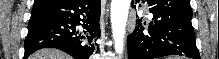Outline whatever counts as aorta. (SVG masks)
Instances as JSON below:
<instances>
[{
	"label": "aorta",
	"mask_w": 219,
	"mask_h": 59,
	"mask_svg": "<svg viewBox=\"0 0 219 59\" xmlns=\"http://www.w3.org/2000/svg\"><path fill=\"white\" fill-rule=\"evenodd\" d=\"M131 0L111 1V25L114 40V49L117 54H122L124 50V39L126 34V23Z\"/></svg>",
	"instance_id": "obj_1"
}]
</instances>
